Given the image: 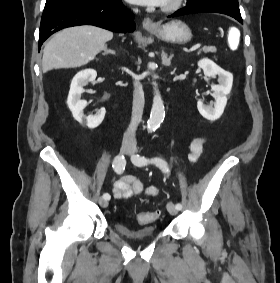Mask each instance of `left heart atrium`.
I'll list each match as a JSON object with an SVG mask.
<instances>
[{
    "mask_svg": "<svg viewBox=\"0 0 280 283\" xmlns=\"http://www.w3.org/2000/svg\"><path fill=\"white\" fill-rule=\"evenodd\" d=\"M133 4L148 5V6H160L163 5L166 0H126Z\"/></svg>",
    "mask_w": 280,
    "mask_h": 283,
    "instance_id": "39dd6f15",
    "label": "left heart atrium"
}]
</instances>
